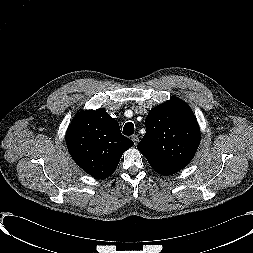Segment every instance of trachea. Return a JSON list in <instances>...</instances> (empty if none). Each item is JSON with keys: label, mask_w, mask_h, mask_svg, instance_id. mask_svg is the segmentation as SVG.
<instances>
[{"label": "trachea", "mask_w": 253, "mask_h": 253, "mask_svg": "<svg viewBox=\"0 0 253 253\" xmlns=\"http://www.w3.org/2000/svg\"><path fill=\"white\" fill-rule=\"evenodd\" d=\"M123 134L126 136H130L132 134H134V125L131 122H128L125 124L124 128H123Z\"/></svg>", "instance_id": "1"}]
</instances>
